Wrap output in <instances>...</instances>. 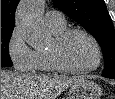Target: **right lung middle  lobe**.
<instances>
[{
  "instance_id": "1",
  "label": "right lung middle lobe",
  "mask_w": 115,
  "mask_h": 99,
  "mask_svg": "<svg viewBox=\"0 0 115 99\" xmlns=\"http://www.w3.org/2000/svg\"><path fill=\"white\" fill-rule=\"evenodd\" d=\"M13 29H1V67H10L13 65L9 56V41Z\"/></svg>"
}]
</instances>
